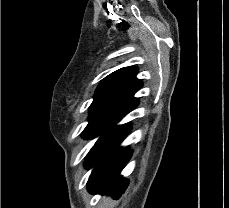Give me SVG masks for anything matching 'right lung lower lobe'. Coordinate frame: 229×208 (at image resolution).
<instances>
[{
    "mask_svg": "<svg viewBox=\"0 0 229 208\" xmlns=\"http://www.w3.org/2000/svg\"><path fill=\"white\" fill-rule=\"evenodd\" d=\"M129 129L130 126L88 156L87 167H95L87 183L89 192H105L119 197L125 191L128 181L120 173L130 160L132 150L119 145Z\"/></svg>",
    "mask_w": 229,
    "mask_h": 208,
    "instance_id": "1",
    "label": "right lung lower lobe"
}]
</instances>
